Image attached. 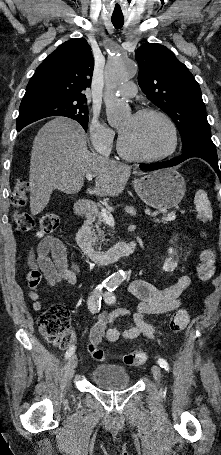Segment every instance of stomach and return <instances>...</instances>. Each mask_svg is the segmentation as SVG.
<instances>
[{
  "instance_id": "1",
  "label": "stomach",
  "mask_w": 221,
  "mask_h": 455,
  "mask_svg": "<svg viewBox=\"0 0 221 455\" xmlns=\"http://www.w3.org/2000/svg\"><path fill=\"white\" fill-rule=\"evenodd\" d=\"M133 185L141 200L158 210L177 206L186 191L184 178L172 168L153 171L134 180Z\"/></svg>"
}]
</instances>
